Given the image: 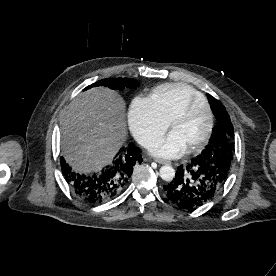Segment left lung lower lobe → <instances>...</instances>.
<instances>
[{
	"instance_id": "left-lung-lower-lobe-1",
	"label": "left lung lower lobe",
	"mask_w": 276,
	"mask_h": 276,
	"mask_svg": "<svg viewBox=\"0 0 276 276\" xmlns=\"http://www.w3.org/2000/svg\"><path fill=\"white\" fill-rule=\"evenodd\" d=\"M221 184L213 166L199 155L186 166H179L175 178L164 190L177 206L193 210L210 201L222 188Z\"/></svg>"
}]
</instances>
